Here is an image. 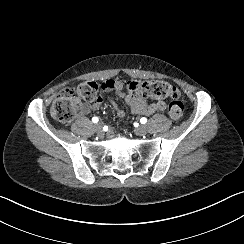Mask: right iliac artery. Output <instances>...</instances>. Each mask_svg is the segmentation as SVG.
Instances as JSON below:
<instances>
[{"mask_svg":"<svg viewBox=\"0 0 244 244\" xmlns=\"http://www.w3.org/2000/svg\"><path fill=\"white\" fill-rule=\"evenodd\" d=\"M98 121H99V119H98L97 117H93V118H92V122H93V123H97Z\"/></svg>","mask_w":244,"mask_h":244,"instance_id":"right-iliac-artery-1","label":"right iliac artery"}]
</instances>
